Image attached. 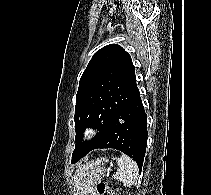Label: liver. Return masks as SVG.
Wrapping results in <instances>:
<instances>
[{"label":"liver","instance_id":"obj_1","mask_svg":"<svg viewBox=\"0 0 211 195\" xmlns=\"http://www.w3.org/2000/svg\"><path fill=\"white\" fill-rule=\"evenodd\" d=\"M86 169L85 165L79 166V168L76 171L75 177H74V184H75V188L77 190L76 194L77 195L79 193V191L81 190V184H82V176H83V172Z\"/></svg>","mask_w":211,"mask_h":195}]
</instances>
